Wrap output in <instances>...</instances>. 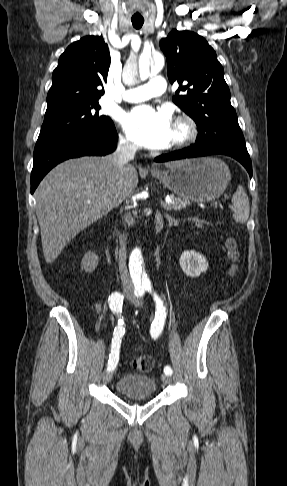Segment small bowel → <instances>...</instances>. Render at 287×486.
<instances>
[{
	"label": "small bowel",
	"mask_w": 287,
	"mask_h": 486,
	"mask_svg": "<svg viewBox=\"0 0 287 486\" xmlns=\"http://www.w3.org/2000/svg\"><path fill=\"white\" fill-rule=\"evenodd\" d=\"M94 308H95V310H96L97 313H102V306H101V304L99 302H95L94 303Z\"/></svg>",
	"instance_id": "c3829d8e"
}]
</instances>
